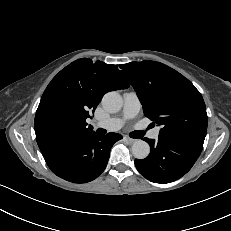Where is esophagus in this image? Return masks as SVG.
<instances>
[{"label":"esophagus","instance_id":"1","mask_svg":"<svg viewBox=\"0 0 231 231\" xmlns=\"http://www.w3.org/2000/svg\"><path fill=\"white\" fill-rule=\"evenodd\" d=\"M124 139L130 144L135 143L137 141V139L130 138L128 136H125Z\"/></svg>","mask_w":231,"mask_h":231}]
</instances>
